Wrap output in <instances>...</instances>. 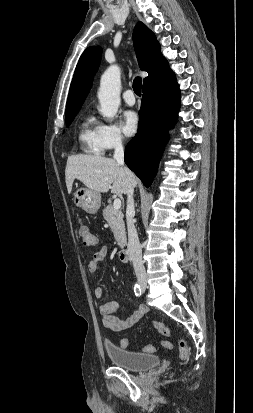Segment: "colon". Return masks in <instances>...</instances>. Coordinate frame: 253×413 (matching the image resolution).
I'll return each mask as SVG.
<instances>
[{"label":"colon","mask_w":253,"mask_h":413,"mask_svg":"<svg viewBox=\"0 0 253 413\" xmlns=\"http://www.w3.org/2000/svg\"><path fill=\"white\" fill-rule=\"evenodd\" d=\"M79 236L81 240L83 241V244L86 246H94L96 244V238L94 237L93 233L90 231V229L86 225H83V224L80 225ZM152 326L161 335L165 337H169L171 335L170 328L162 322L152 321ZM128 345H129V340L127 338H124L121 340L122 347H128ZM162 346L167 349L172 348V344L169 341H163ZM178 349H179L180 358L187 359L189 356V348H188L186 341L180 340L178 342ZM143 350L145 352H154L156 350V347L154 345H147L144 347Z\"/></svg>","instance_id":"5ec220e1"}]
</instances>
